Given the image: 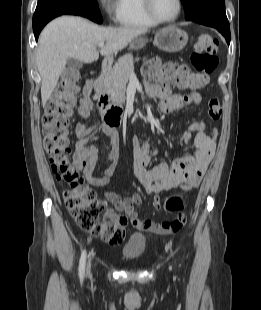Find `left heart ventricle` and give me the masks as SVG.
Listing matches in <instances>:
<instances>
[{
	"label": "left heart ventricle",
	"mask_w": 261,
	"mask_h": 310,
	"mask_svg": "<svg viewBox=\"0 0 261 310\" xmlns=\"http://www.w3.org/2000/svg\"><path fill=\"white\" fill-rule=\"evenodd\" d=\"M153 9L156 15L162 19H170L177 12L176 0H152Z\"/></svg>",
	"instance_id": "b2bd125f"
}]
</instances>
